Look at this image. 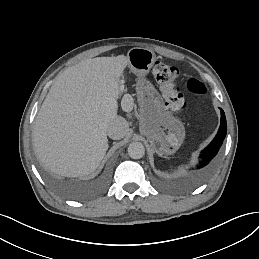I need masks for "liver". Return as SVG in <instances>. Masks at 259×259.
Instances as JSON below:
<instances>
[{
  "instance_id": "obj_1",
  "label": "liver",
  "mask_w": 259,
  "mask_h": 259,
  "mask_svg": "<svg viewBox=\"0 0 259 259\" xmlns=\"http://www.w3.org/2000/svg\"><path fill=\"white\" fill-rule=\"evenodd\" d=\"M124 55L86 59L60 73L38 111L33 149L41 164L66 177L93 173L109 148L117 117ZM122 109L128 107L122 104Z\"/></svg>"
}]
</instances>
